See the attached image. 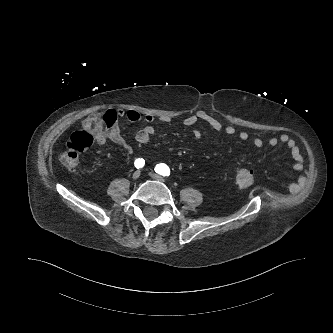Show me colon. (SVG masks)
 Listing matches in <instances>:
<instances>
[{"label": "colon", "instance_id": "obj_1", "mask_svg": "<svg viewBox=\"0 0 333 333\" xmlns=\"http://www.w3.org/2000/svg\"><path fill=\"white\" fill-rule=\"evenodd\" d=\"M117 123V112L107 110L89 115L82 122L81 129L74 132L66 143L61 155V162L70 171L79 167L81 154L90 148L100 137L106 136ZM254 172L240 168L236 172V183L240 188H247L254 182Z\"/></svg>", "mask_w": 333, "mask_h": 333}]
</instances>
